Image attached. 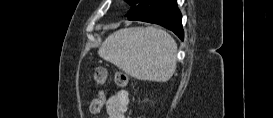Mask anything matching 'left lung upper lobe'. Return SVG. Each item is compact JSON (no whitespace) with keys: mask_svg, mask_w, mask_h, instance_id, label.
<instances>
[{"mask_svg":"<svg viewBox=\"0 0 273 118\" xmlns=\"http://www.w3.org/2000/svg\"><path fill=\"white\" fill-rule=\"evenodd\" d=\"M132 6L127 13L129 20H141L159 10L167 0H125Z\"/></svg>","mask_w":273,"mask_h":118,"instance_id":"obj_1","label":"left lung upper lobe"}]
</instances>
